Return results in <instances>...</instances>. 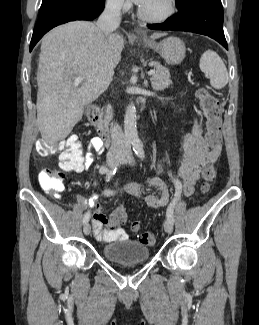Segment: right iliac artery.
I'll use <instances>...</instances> for the list:
<instances>
[{
  "mask_svg": "<svg viewBox=\"0 0 259 325\" xmlns=\"http://www.w3.org/2000/svg\"><path fill=\"white\" fill-rule=\"evenodd\" d=\"M130 144L131 143H128V148H130ZM109 170L106 166H101L100 169H99V173L100 174H106V171ZM90 216H91V213L90 211H87L85 214H84V217H83V223H86L89 221L90 219Z\"/></svg>",
  "mask_w": 259,
  "mask_h": 325,
  "instance_id": "right-iliac-artery-1",
  "label": "right iliac artery"
}]
</instances>
